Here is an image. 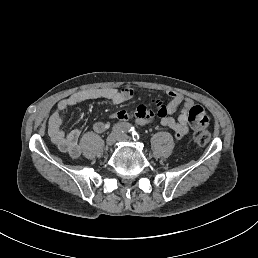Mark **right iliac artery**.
<instances>
[{
  "mask_svg": "<svg viewBox=\"0 0 258 258\" xmlns=\"http://www.w3.org/2000/svg\"><path fill=\"white\" fill-rule=\"evenodd\" d=\"M134 129V127L129 123H117L114 124L112 130L116 133L119 132H130Z\"/></svg>",
  "mask_w": 258,
  "mask_h": 258,
  "instance_id": "obj_1",
  "label": "right iliac artery"
}]
</instances>
